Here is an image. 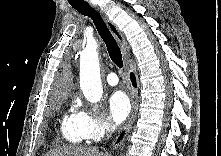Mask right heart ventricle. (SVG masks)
Listing matches in <instances>:
<instances>
[{
  "mask_svg": "<svg viewBox=\"0 0 221 156\" xmlns=\"http://www.w3.org/2000/svg\"><path fill=\"white\" fill-rule=\"evenodd\" d=\"M61 133L66 141L72 144H79L84 140L75 114L64 115L61 122Z\"/></svg>",
  "mask_w": 221,
  "mask_h": 156,
  "instance_id": "1",
  "label": "right heart ventricle"
}]
</instances>
